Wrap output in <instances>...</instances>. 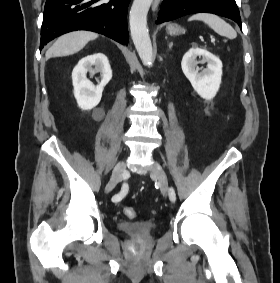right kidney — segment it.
<instances>
[{
    "mask_svg": "<svg viewBox=\"0 0 280 283\" xmlns=\"http://www.w3.org/2000/svg\"><path fill=\"white\" fill-rule=\"evenodd\" d=\"M94 66L95 68H92ZM100 73L101 82L94 85L86 74ZM112 78V70L108 58L102 53L88 55L82 58L72 71V83L74 96L78 106L83 110H90L96 107L102 97L104 87Z\"/></svg>",
    "mask_w": 280,
    "mask_h": 283,
    "instance_id": "obj_1",
    "label": "right kidney"
}]
</instances>
